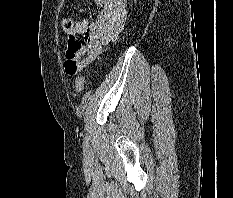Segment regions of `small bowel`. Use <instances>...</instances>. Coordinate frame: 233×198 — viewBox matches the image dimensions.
<instances>
[{"label":"small bowel","instance_id":"c3829d8e","mask_svg":"<svg viewBox=\"0 0 233 198\" xmlns=\"http://www.w3.org/2000/svg\"><path fill=\"white\" fill-rule=\"evenodd\" d=\"M126 18V0H102V9L96 21L90 23L83 20L74 25L66 55L73 52L79 70L85 68L102 53L105 44L118 37L124 29ZM75 41L80 42L76 49L73 48Z\"/></svg>","mask_w":233,"mask_h":198}]
</instances>
